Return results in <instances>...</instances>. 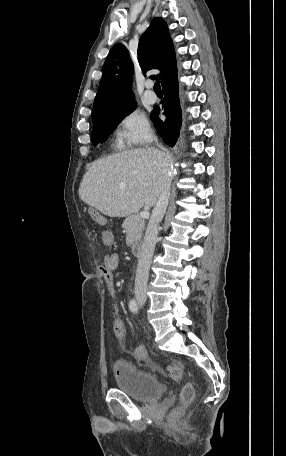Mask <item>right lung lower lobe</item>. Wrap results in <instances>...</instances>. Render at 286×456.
Here are the masks:
<instances>
[{
    "label": "right lung lower lobe",
    "instance_id": "98d812e1",
    "mask_svg": "<svg viewBox=\"0 0 286 456\" xmlns=\"http://www.w3.org/2000/svg\"><path fill=\"white\" fill-rule=\"evenodd\" d=\"M164 99L162 100V109L166 120L162 121L158 118L159 108L156 107L151 115V119L162 137L163 141L173 147L175 146L182 125V110L179 101L178 93V78L169 81L162 86Z\"/></svg>",
    "mask_w": 286,
    "mask_h": 456
}]
</instances>
